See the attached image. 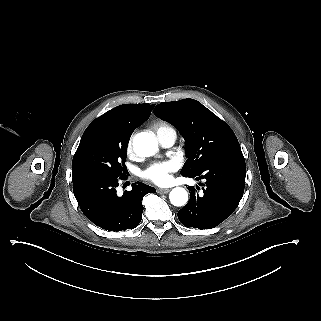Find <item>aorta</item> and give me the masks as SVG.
<instances>
[{
  "instance_id": "1",
  "label": "aorta",
  "mask_w": 321,
  "mask_h": 321,
  "mask_svg": "<svg viewBox=\"0 0 321 321\" xmlns=\"http://www.w3.org/2000/svg\"><path fill=\"white\" fill-rule=\"evenodd\" d=\"M133 148L139 156H152L158 150L157 140L146 132L138 133L133 139ZM174 206H184L188 201V193L182 187L172 189L169 195Z\"/></svg>"
}]
</instances>
